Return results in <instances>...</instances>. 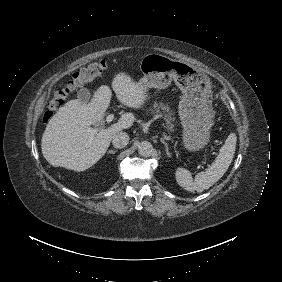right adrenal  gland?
Returning a JSON list of instances; mask_svg holds the SVG:
<instances>
[{"instance_id": "right-adrenal-gland-1", "label": "right adrenal gland", "mask_w": 282, "mask_h": 282, "mask_svg": "<svg viewBox=\"0 0 282 282\" xmlns=\"http://www.w3.org/2000/svg\"><path fill=\"white\" fill-rule=\"evenodd\" d=\"M108 153H112V154H115L116 153V150H113V149H109L108 151H107Z\"/></svg>"}]
</instances>
